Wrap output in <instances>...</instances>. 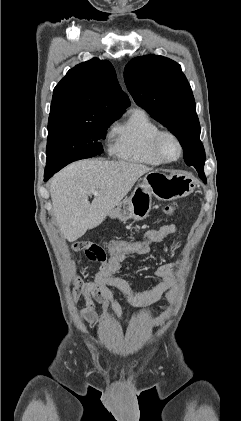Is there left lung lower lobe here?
I'll list each match as a JSON object with an SVG mask.
<instances>
[{
	"mask_svg": "<svg viewBox=\"0 0 241 421\" xmlns=\"http://www.w3.org/2000/svg\"><path fill=\"white\" fill-rule=\"evenodd\" d=\"M187 165H189V166H194L196 169H197V171H198V174H199V177L204 181V182H206V177H205V175H204V170L202 169V168H199V167H197V166H195V165H193V163H187Z\"/></svg>",
	"mask_w": 241,
	"mask_h": 421,
	"instance_id": "obj_1",
	"label": "left lung lower lobe"
}]
</instances>
